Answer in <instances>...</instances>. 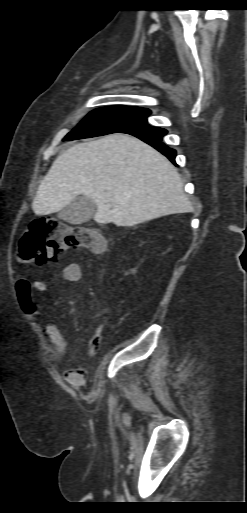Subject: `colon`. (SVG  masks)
Listing matches in <instances>:
<instances>
[{"label": "colon", "mask_w": 247, "mask_h": 513, "mask_svg": "<svg viewBox=\"0 0 247 513\" xmlns=\"http://www.w3.org/2000/svg\"><path fill=\"white\" fill-rule=\"evenodd\" d=\"M107 240L99 231L80 225L68 224L56 218H40L32 221L18 243V257L25 263L43 264L56 261L58 255L67 249L86 248L102 252ZM101 335L97 334L92 342V350H97Z\"/></svg>", "instance_id": "obj_1"}]
</instances>
